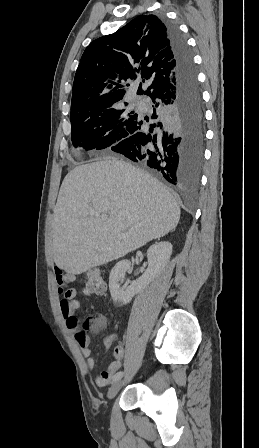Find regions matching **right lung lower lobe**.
<instances>
[{"instance_id":"98d812e1","label":"right lung lower lobe","mask_w":259,"mask_h":448,"mask_svg":"<svg viewBox=\"0 0 259 448\" xmlns=\"http://www.w3.org/2000/svg\"><path fill=\"white\" fill-rule=\"evenodd\" d=\"M167 28L175 63L172 89L150 97V124L138 116L123 138L111 147L135 162L146 163L175 186H196L203 165L204 110L193 55L175 25ZM148 121V120H146Z\"/></svg>"}]
</instances>
